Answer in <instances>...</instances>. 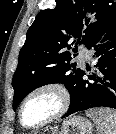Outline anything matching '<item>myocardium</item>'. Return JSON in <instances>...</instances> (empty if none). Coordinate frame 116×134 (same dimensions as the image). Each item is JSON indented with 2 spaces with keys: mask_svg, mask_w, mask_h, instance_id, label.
I'll list each match as a JSON object with an SVG mask.
<instances>
[{
  "mask_svg": "<svg viewBox=\"0 0 116 134\" xmlns=\"http://www.w3.org/2000/svg\"><path fill=\"white\" fill-rule=\"evenodd\" d=\"M42 92H52L54 93L58 98V109L56 112H54L51 116L43 120L42 122L36 124V125H28L24 122L23 119V110L26 105V103L32 98L34 95ZM70 105V95L65 86H63L60 83L57 82H48L41 85H38L34 87L32 90H30L25 97L22 99L19 110H18V118L20 124L27 128V129H39L45 126H48L59 119H61L65 113L67 112Z\"/></svg>",
  "mask_w": 116,
  "mask_h": 134,
  "instance_id": "myocardium-1",
  "label": "myocardium"
}]
</instances>
